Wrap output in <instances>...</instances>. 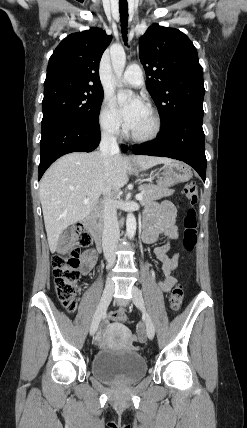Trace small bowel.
Returning a JSON list of instances; mask_svg holds the SVG:
<instances>
[{"label":"small bowel","instance_id":"obj_1","mask_svg":"<svg viewBox=\"0 0 247 428\" xmlns=\"http://www.w3.org/2000/svg\"><path fill=\"white\" fill-rule=\"evenodd\" d=\"M176 210L174 205L169 201H163L151 206L144 218L143 239L147 243L155 242L162 234L170 239L178 238V228L175 224ZM168 246L163 245L155 248V255L162 263L163 279L159 283V287L163 292H168L176 283L173 276L174 270L178 266L179 255L173 254L168 256ZM96 263V254L93 250H88L81 257V271L84 275L90 273ZM121 312L124 310H120ZM141 339V337H132V341ZM104 334L99 333L96 336L95 342L102 344Z\"/></svg>","mask_w":247,"mask_h":428}]
</instances>
